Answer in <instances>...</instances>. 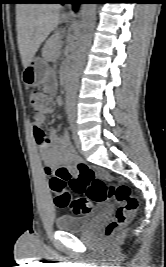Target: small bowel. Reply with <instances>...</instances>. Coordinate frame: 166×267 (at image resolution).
Masks as SVG:
<instances>
[{"label": "small bowel", "mask_w": 166, "mask_h": 267, "mask_svg": "<svg viewBox=\"0 0 166 267\" xmlns=\"http://www.w3.org/2000/svg\"><path fill=\"white\" fill-rule=\"evenodd\" d=\"M47 90L54 91V86L48 85ZM52 111L53 109L50 107L33 116V134L39 148L40 159L45 165L44 173L46 175L52 174L53 168L56 166H73L79 161V157L70 145L64 129H53L50 137H45L42 124L45 115L52 113Z\"/></svg>", "instance_id": "c3829d8e"}]
</instances>
